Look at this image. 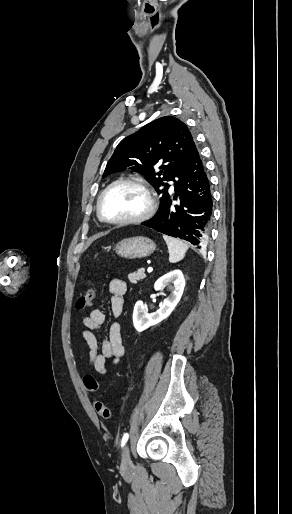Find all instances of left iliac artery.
Masks as SVG:
<instances>
[{"instance_id": "obj_1", "label": "left iliac artery", "mask_w": 292, "mask_h": 514, "mask_svg": "<svg viewBox=\"0 0 292 514\" xmlns=\"http://www.w3.org/2000/svg\"><path fill=\"white\" fill-rule=\"evenodd\" d=\"M128 438H129V434H128V433H125V434L123 435V437H122V440H121V447H123V446L126 444V442H127Z\"/></svg>"}]
</instances>
